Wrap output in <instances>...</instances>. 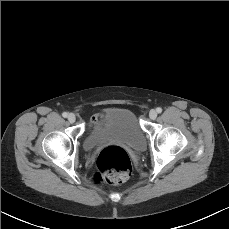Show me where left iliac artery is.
<instances>
[{
  "label": "left iliac artery",
  "instance_id": "obj_1",
  "mask_svg": "<svg viewBox=\"0 0 229 229\" xmlns=\"http://www.w3.org/2000/svg\"><path fill=\"white\" fill-rule=\"evenodd\" d=\"M157 113H161L162 109L160 107L156 108Z\"/></svg>",
  "mask_w": 229,
  "mask_h": 229
}]
</instances>
